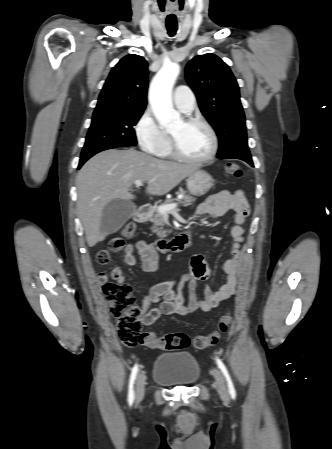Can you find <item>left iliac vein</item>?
I'll list each match as a JSON object with an SVG mask.
<instances>
[{"label": "left iliac vein", "mask_w": 332, "mask_h": 449, "mask_svg": "<svg viewBox=\"0 0 332 449\" xmlns=\"http://www.w3.org/2000/svg\"><path fill=\"white\" fill-rule=\"evenodd\" d=\"M211 373L214 377V387L216 388V390L218 391L219 395L223 398V399H227L228 398V389L224 380V377L221 373V371L217 368H213L211 370Z\"/></svg>", "instance_id": "left-iliac-vein-1"}]
</instances>
